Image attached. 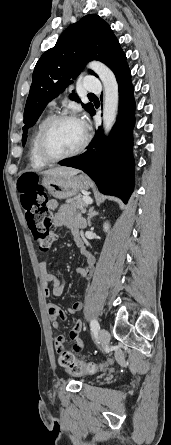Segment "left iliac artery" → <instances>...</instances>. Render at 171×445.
Wrapping results in <instances>:
<instances>
[{"label":"left iliac artery","mask_w":171,"mask_h":445,"mask_svg":"<svg viewBox=\"0 0 171 445\" xmlns=\"http://www.w3.org/2000/svg\"><path fill=\"white\" fill-rule=\"evenodd\" d=\"M90 327H91V331H92L94 334H97L98 331H99V329H100L99 323H98V321H97L96 319H92V320H91V322H90Z\"/></svg>","instance_id":"1"}]
</instances>
